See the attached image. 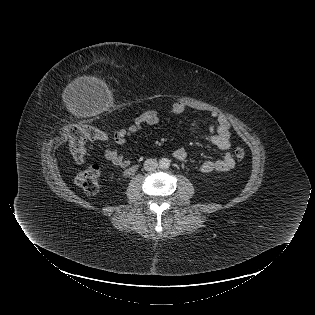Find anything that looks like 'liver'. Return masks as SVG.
<instances>
[{
  "label": "liver",
  "mask_w": 315,
  "mask_h": 315,
  "mask_svg": "<svg viewBox=\"0 0 315 315\" xmlns=\"http://www.w3.org/2000/svg\"><path fill=\"white\" fill-rule=\"evenodd\" d=\"M84 83H92V84H96V85H105L103 81H101L98 78L95 77H89V76H82V77H78L77 79H75L72 84L69 86L70 89H74L76 87H78L81 84ZM109 101V100H108ZM109 103V102H107Z\"/></svg>",
  "instance_id": "obj_1"
}]
</instances>
